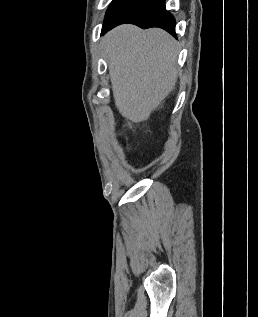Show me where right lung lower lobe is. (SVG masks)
Returning <instances> with one entry per match:
<instances>
[{
    "instance_id": "1",
    "label": "right lung lower lobe",
    "mask_w": 258,
    "mask_h": 317,
    "mask_svg": "<svg viewBox=\"0 0 258 317\" xmlns=\"http://www.w3.org/2000/svg\"><path fill=\"white\" fill-rule=\"evenodd\" d=\"M123 23L144 29L159 27L176 37V22L165 9V0H113L107 9L101 35Z\"/></svg>"
}]
</instances>
